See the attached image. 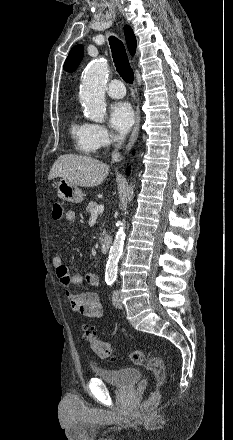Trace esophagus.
<instances>
[{"instance_id": "1", "label": "esophagus", "mask_w": 233, "mask_h": 440, "mask_svg": "<svg viewBox=\"0 0 233 440\" xmlns=\"http://www.w3.org/2000/svg\"><path fill=\"white\" fill-rule=\"evenodd\" d=\"M139 127H140V110L139 107H137V111H136V121H135V125L133 128V131L131 133L129 142L126 146V152H129L131 150V148L133 147L137 137H138V133H139Z\"/></svg>"}]
</instances>
